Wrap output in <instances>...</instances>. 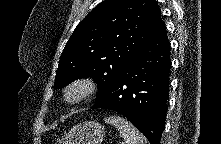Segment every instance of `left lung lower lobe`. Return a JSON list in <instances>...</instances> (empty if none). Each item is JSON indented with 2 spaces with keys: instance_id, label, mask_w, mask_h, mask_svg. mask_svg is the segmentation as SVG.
<instances>
[{
  "instance_id": "obj_1",
  "label": "left lung lower lobe",
  "mask_w": 221,
  "mask_h": 144,
  "mask_svg": "<svg viewBox=\"0 0 221 144\" xmlns=\"http://www.w3.org/2000/svg\"><path fill=\"white\" fill-rule=\"evenodd\" d=\"M170 68V43L162 22L91 109H109L124 115L151 144H160L169 98Z\"/></svg>"
}]
</instances>
